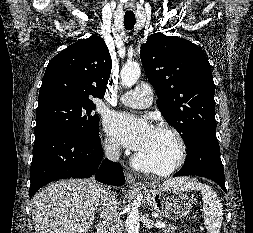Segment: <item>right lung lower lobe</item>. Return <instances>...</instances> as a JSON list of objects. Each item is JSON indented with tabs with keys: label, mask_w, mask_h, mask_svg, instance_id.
<instances>
[{
	"label": "right lung lower lobe",
	"mask_w": 253,
	"mask_h": 233,
	"mask_svg": "<svg viewBox=\"0 0 253 233\" xmlns=\"http://www.w3.org/2000/svg\"><path fill=\"white\" fill-rule=\"evenodd\" d=\"M91 177L105 184H125L121 165L103 160L99 135L93 139L64 131H43L35 135L30 197L54 180Z\"/></svg>",
	"instance_id": "obj_1"
}]
</instances>
